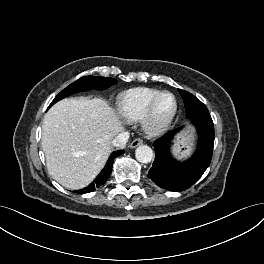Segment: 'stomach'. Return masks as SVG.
<instances>
[{
    "mask_svg": "<svg viewBox=\"0 0 264 264\" xmlns=\"http://www.w3.org/2000/svg\"><path fill=\"white\" fill-rule=\"evenodd\" d=\"M195 140V133L192 129L184 130L179 133L172 146L173 156L178 160L190 156L195 147Z\"/></svg>",
    "mask_w": 264,
    "mask_h": 264,
    "instance_id": "stomach-1",
    "label": "stomach"
}]
</instances>
